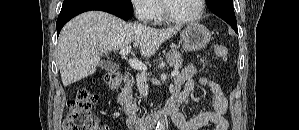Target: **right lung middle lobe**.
<instances>
[{
  "instance_id": "1",
  "label": "right lung middle lobe",
  "mask_w": 299,
  "mask_h": 130,
  "mask_svg": "<svg viewBox=\"0 0 299 130\" xmlns=\"http://www.w3.org/2000/svg\"><path fill=\"white\" fill-rule=\"evenodd\" d=\"M124 1H126V2H130V0H124Z\"/></svg>"
}]
</instances>
